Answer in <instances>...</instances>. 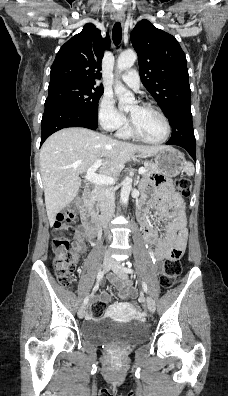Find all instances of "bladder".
Wrapping results in <instances>:
<instances>
[{"label":"bladder","mask_w":228,"mask_h":396,"mask_svg":"<svg viewBox=\"0 0 228 396\" xmlns=\"http://www.w3.org/2000/svg\"><path fill=\"white\" fill-rule=\"evenodd\" d=\"M81 335L84 340L96 345L134 344L147 338L148 329L136 320L120 323L111 319L92 318L83 324Z\"/></svg>","instance_id":"1"}]
</instances>
